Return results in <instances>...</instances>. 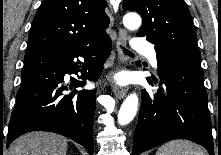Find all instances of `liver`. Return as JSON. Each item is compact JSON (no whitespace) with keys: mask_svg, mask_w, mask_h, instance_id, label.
I'll use <instances>...</instances> for the list:
<instances>
[{"mask_svg":"<svg viewBox=\"0 0 221 155\" xmlns=\"http://www.w3.org/2000/svg\"><path fill=\"white\" fill-rule=\"evenodd\" d=\"M68 143L63 136L48 132H30L17 138L8 155H66Z\"/></svg>","mask_w":221,"mask_h":155,"instance_id":"obj_1","label":"liver"}]
</instances>
